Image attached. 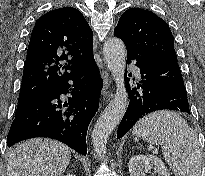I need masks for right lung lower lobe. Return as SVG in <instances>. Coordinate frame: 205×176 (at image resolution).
I'll return each mask as SVG.
<instances>
[{"instance_id": "right-lung-lower-lobe-1", "label": "right lung lower lobe", "mask_w": 205, "mask_h": 176, "mask_svg": "<svg viewBox=\"0 0 205 176\" xmlns=\"http://www.w3.org/2000/svg\"><path fill=\"white\" fill-rule=\"evenodd\" d=\"M101 88L98 67L92 59L38 94L15 114L7 145L11 147L25 139L48 137L86 155V133L98 109ZM67 93L72 97L63 103L60 95Z\"/></svg>"}]
</instances>
